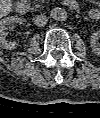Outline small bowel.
Masks as SVG:
<instances>
[{
	"mask_svg": "<svg viewBox=\"0 0 100 118\" xmlns=\"http://www.w3.org/2000/svg\"><path fill=\"white\" fill-rule=\"evenodd\" d=\"M93 11H94V10H92V11H91V13H90V14H91V16H92V12H93ZM96 11H97V10H96ZM92 17H93V16H92ZM93 18H95V17H93Z\"/></svg>",
	"mask_w": 100,
	"mask_h": 118,
	"instance_id": "1",
	"label": "small bowel"
}]
</instances>
